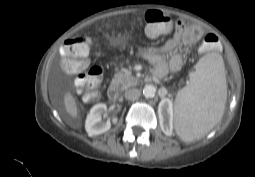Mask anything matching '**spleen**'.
Returning a JSON list of instances; mask_svg holds the SVG:
<instances>
[{
	"instance_id": "spleen-1",
	"label": "spleen",
	"mask_w": 255,
	"mask_h": 177,
	"mask_svg": "<svg viewBox=\"0 0 255 177\" xmlns=\"http://www.w3.org/2000/svg\"><path fill=\"white\" fill-rule=\"evenodd\" d=\"M227 98L223 58L203 56L195 65L188 86L175 99V129L184 142L205 136L221 119Z\"/></svg>"
}]
</instances>
